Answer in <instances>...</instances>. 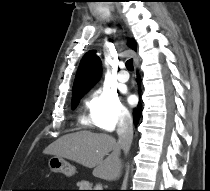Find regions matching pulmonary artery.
I'll return each mask as SVG.
<instances>
[{
	"label": "pulmonary artery",
	"mask_w": 210,
	"mask_h": 191,
	"mask_svg": "<svg viewBox=\"0 0 210 191\" xmlns=\"http://www.w3.org/2000/svg\"><path fill=\"white\" fill-rule=\"evenodd\" d=\"M123 68H124V66L121 65V70H120L119 73H118V80H119L120 82H122V83L127 82L128 79H129V74H128V72L125 71Z\"/></svg>",
	"instance_id": "1"
}]
</instances>
